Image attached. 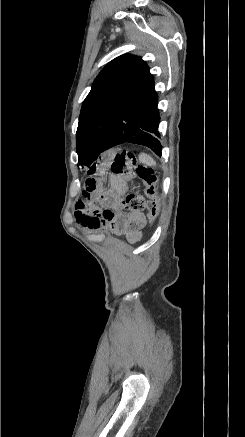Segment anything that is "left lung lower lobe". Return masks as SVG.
Instances as JSON below:
<instances>
[{"instance_id": "0a47b994", "label": "left lung lower lobe", "mask_w": 245, "mask_h": 437, "mask_svg": "<svg viewBox=\"0 0 245 437\" xmlns=\"http://www.w3.org/2000/svg\"><path fill=\"white\" fill-rule=\"evenodd\" d=\"M157 104L154 79L150 75L112 126L101 152L118 144L131 142L147 146L157 155H161L162 146L157 138L160 122Z\"/></svg>"}]
</instances>
